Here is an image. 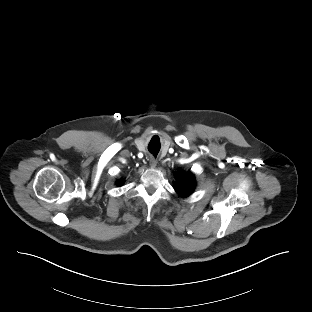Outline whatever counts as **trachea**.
I'll return each mask as SVG.
<instances>
[{
  "instance_id": "1",
  "label": "trachea",
  "mask_w": 312,
  "mask_h": 312,
  "mask_svg": "<svg viewBox=\"0 0 312 312\" xmlns=\"http://www.w3.org/2000/svg\"><path fill=\"white\" fill-rule=\"evenodd\" d=\"M160 150V146L159 145H149V151L154 155L157 156L158 152Z\"/></svg>"
}]
</instances>
